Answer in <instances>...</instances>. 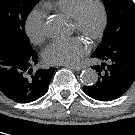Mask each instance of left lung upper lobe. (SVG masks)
<instances>
[{"label":"left lung upper lobe","mask_w":135,"mask_h":135,"mask_svg":"<svg viewBox=\"0 0 135 135\" xmlns=\"http://www.w3.org/2000/svg\"><path fill=\"white\" fill-rule=\"evenodd\" d=\"M108 12V26L95 52H106L126 41H135V3L132 0H102Z\"/></svg>","instance_id":"1"}]
</instances>
